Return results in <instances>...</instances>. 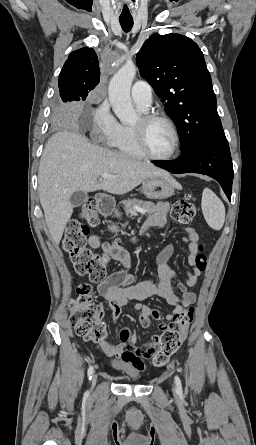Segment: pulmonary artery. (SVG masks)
<instances>
[{"instance_id":"pulmonary-artery-1","label":"pulmonary artery","mask_w":256,"mask_h":445,"mask_svg":"<svg viewBox=\"0 0 256 445\" xmlns=\"http://www.w3.org/2000/svg\"><path fill=\"white\" fill-rule=\"evenodd\" d=\"M131 97L134 104L143 111H147L152 104V91L145 81L136 82L131 89Z\"/></svg>"}]
</instances>
